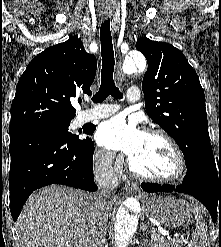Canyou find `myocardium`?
Wrapping results in <instances>:
<instances>
[{
    "mask_svg": "<svg viewBox=\"0 0 221 247\" xmlns=\"http://www.w3.org/2000/svg\"><path fill=\"white\" fill-rule=\"evenodd\" d=\"M144 133L147 135L158 136L162 138L163 140H165L170 145V147L173 149L176 155L177 171L175 174L168 176V177L151 176V175L144 174V173L137 171L134 168L130 158H128L127 166L131 174L142 180L162 183V184L175 183V182L182 180L186 176V173H187V163H186L184 153L182 149L180 148V146L178 145V143L167 132L161 129H154V128L147 129Z\"/></svg>",
    "mask_w": 221,
    "mask_h": 247,
    "instance_id": "myocardium-1",
    "label": "myocardium"
}]
</instances>
